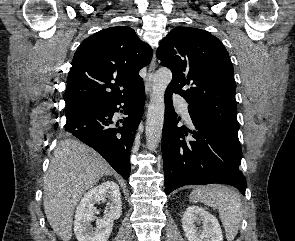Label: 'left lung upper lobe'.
<instances>
[{
    "mask_svg": "<svg viewBox=\"0 0 295 241\" xmlns=\"http://www.w3.org/2000/svg\"><path fill=\"white\" fill-rule=\"evenodd\" d=\"M157 58L173 74L167 91L189 103L191 117L238 132L233 65L218 38L205 30L176 27L160 42Z\"/></svg>",
    "mask_w": 295,
    "mask_h": 241,
    "instance_id": "obj_1",
    "label": "left lung upper lobe"
}]
</instances>
